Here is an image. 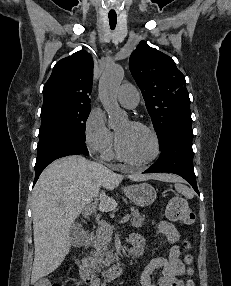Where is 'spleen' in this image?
<instances>
[{
  "instance_id": "spleen-1",
  "label": "spleen",
  "mask_w": 231,
  "mask_h": 286,
  "mask_svg": "<svg viewBox=\"0 0 231 286\" xmlns=\"http://www.w3.org/2000/svg\"><path fill=\"white\" fill-rule=\"evenodd\" d=\"M175 182H176L175 183V189L178 193L182 194L183 196H185L188 199L193 198V195H194L193 191L189 187H187V186H185V185H183L177 181H175Z\"/></svg>"
}]
</instances>
